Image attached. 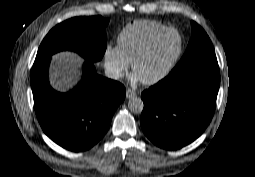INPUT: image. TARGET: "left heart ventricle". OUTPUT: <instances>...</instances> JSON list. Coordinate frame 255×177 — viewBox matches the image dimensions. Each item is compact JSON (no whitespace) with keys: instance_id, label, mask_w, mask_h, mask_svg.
Wrapping results in <instances>:
<instances>
[{"instance_id":"left-heart-ventricle-1","label":"left heart ventricle","mask_w":255,"mask_h":177,"mask_svg":"<svg viewBox=\"0 0 255 177\" xmlns=\"http://www.w3.org/2000/svg\"><path fill=\"white\" fill-rule=\"evenodd\" d=\"M179 37L175 31L161 36L152 46L148 54L136 65L135 73L140 79L156 76L177 52Z\"/></svg>"}]
</instances>
